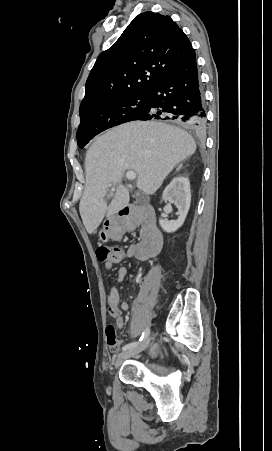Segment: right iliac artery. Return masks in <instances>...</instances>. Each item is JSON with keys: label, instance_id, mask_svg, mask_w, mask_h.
Masks as SVG:
<instances>
[{"label": "right iliac artery", "instance_id": "right-iliac-artery-1", "mask_svg": "<svg viewBox=\"0 0 272 451\" xmlns=\"http://www.w3.org/2000/svg\"><path fill=\"white\" fill-rule=\"evenodd\" d=\"M149 333H150V330L147 328V329L142 333V335H141V337H140V339H139V342H141L143 339H145V338L149 335ZM139 342H132V343L126 344V345L122 348V350L125 351V350H127V349L132 348V347H135V346H137V345L139 344Z\"/></svg>", "mask_w": 272, "mask_h": 451}]
</instances>
